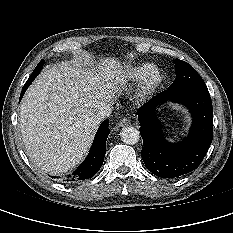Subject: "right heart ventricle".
I'll use <instances>...</instances> for the list:
<instances>
[{
  "mask_svg": "<svg viewBox=\"0 0 233 233\" xmlns=\"http://www.w3.org/2000/svg\"><path fill=\"white\" fill-rule=\"evenodd\" d=\"M153 69L154 65L149 62H143L133 66H129L118 75L117 82L120 85H128L140 82Z\"/></svg>",
  "mask_w": 233,
  "mask_h": 233,
  "instance_id": "e07e8e85",
  "label": "right heart ventricle"
}]
</instances>
